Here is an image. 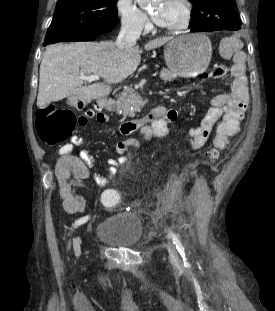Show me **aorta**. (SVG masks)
<instances>
[{"label": "aorta", "instance_id": "762f6f07", "mask_svg": "<svg viewBox=\"0 0 275 311\" xmlns=\"http://www.w3.org/2000/svg\"><path fill=\"white\" fill-rule=\"evenodd\" d=\"M138 4L141 8H145L153 2H157L158 0H137Z\"/></svg>", "mask_w": 275, "mask_h": 311}]
</instances>
